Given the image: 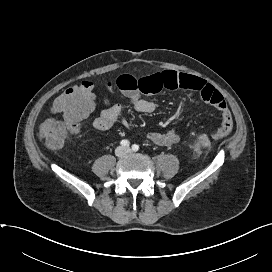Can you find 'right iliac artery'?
I'll use <instances>...</instances> for the list:
<instances>
[{"label":"right iliac artery","instance_id":"1","mask_svg":"<svg viewBox=\"0 0 272 272\" xmlns=\"http://www.w3.org/2000/svg\"><path fill=\"white\" fill-rule=\"evenodd\" d=\"M120 144H121L122 146H129L130 142H129L128 140L124 139V140H122V141L120 142Z\"/></svg>","mask_w":272,"mask_h":272}]
</instances>
